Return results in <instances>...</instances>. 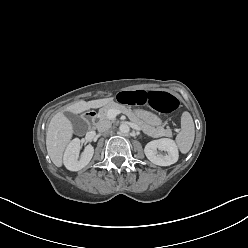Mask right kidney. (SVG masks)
<instances>
[{
    "instance_id": "ca27d5eb",
    "label": "right kidney",
    "mask_w": 248,
    "mask_h": 248,
    "mask_svg": "<svg viewBox=\"0 0 248 248\" xmlns=\"http://www.w3.org/2000/svg\"><path fill=\"white\" fill-rule=\"evenodd\" d=\"M80 149V140L78 138L73 139L67 146L63 162L65 167L70 171H79L88 165L94 154V147L87 145L78 159V152Z\"/></svg>"
}]
</instances>
